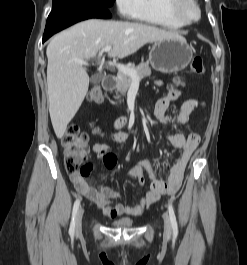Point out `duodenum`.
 <instances>
[{
    "mask_svg": "<svg viewBox=\"0 0 247 265\" xmlns=\"http://www.w3.org/2000/svg\"><path fill=\"white\" fill-rule=\"evenodd\" d=\"M116 78L114 75H106L103 79V87L106 90H111L115 87ZM122 122L120 120L117 121L116 125L120 126Z\"/></svg>",
    "mask_w": 247,
    "mask_h": 265,
    "instance_id": "1",
    "label": "duodenum"
}]
</instances>
